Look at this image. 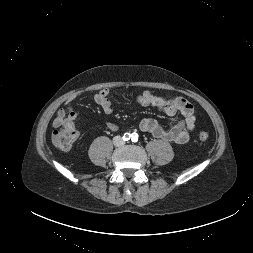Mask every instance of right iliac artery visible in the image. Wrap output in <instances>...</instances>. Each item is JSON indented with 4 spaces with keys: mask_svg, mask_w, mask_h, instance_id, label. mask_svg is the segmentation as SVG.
Masks as SVG:
<instances>
[{
    "mask_svg": "<svg viewBox=\"0 0 253 253\" xmlns=\"http://www.w3.org/2000/svg\"><path fill=\"white\" fill-rule=\"evenodd\" d=\"M130 138H131V134L130 133H125L123 135V140H125V141H128Z\"/></svg>",
    "mask_w": 253,
    "mask_h": 253,
    "instance_id": "obj_1",
    "label": "right iliac artery"
}]
</instances>
